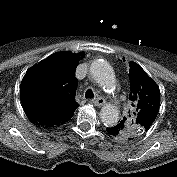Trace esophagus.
Masks as SVG:
<instances>
[{
    "instance_id": "esophagus-1",
    "label": "esophagus",
    "mask_w": 177,
    "mask_h": 177,
    "mask_svg": "<svg viewBox=\"0 0 177 177\" xmlns=\"http://www.w3.org/2000/svg\"><path fill=\"white\" fill-rule=\"evenodd\" d=\"M91 101L92 103H94L96 106H99V107L103 106L106 103L105 99L102 97L94 98Z\"/></svg>"
}]
</instances>
